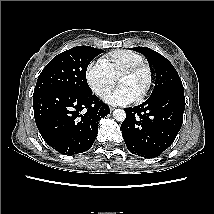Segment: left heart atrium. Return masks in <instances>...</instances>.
Here are the masks:
<instances>
[{
  "instance_id": "left-heart-atrium-1",
  "label": "left heart atrium",
  "mask_w": 214,
  "mask_h": 214,
  "mask_svg": "<svg viewBox=\"0 0 214 214\" xmlns=\"http://www.w3.org/2000/svg\"><path fill=\"white\" fill-rule=\"evenodd\" d=\"M106 100L111 104L126 105L136 100V96L126 87L119 86L107 96Z\"/></svg>"
}]
</instances>
